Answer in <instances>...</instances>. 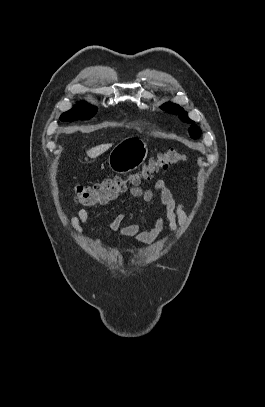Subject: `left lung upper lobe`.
<instances>
[{
    "label": "left lung upper lobe",
    "instance_id": "obj_1",
    "mask_svg": "<svg viewBox=\"0 0 265 407\" xmlns=\"http://www.w3.org/2000/svg\"><path fill=\"white\" fill-rule=\"evenodd\" d=\"M162 109L166 110L170 113L179 115L180 119L184 122L194 123V121H192L188 118L187 113L179 105H176L173 103H166L162 106ZM189 133L192 138H198L201 134V130L197 126L192 125L189 128Z\"/></svg>",
    "mask_w": 265,
    "mask_h": 407
}]
</instances>
